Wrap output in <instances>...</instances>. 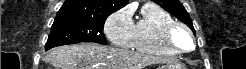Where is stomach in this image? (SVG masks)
<instances>
[{
	"label": "stomach",
	"instance_id": "1",
	"mask_svg": "<svg viewBox=\"0 0 246 69\" xmlns=\"http://www.w3.org/2000/svg\"><path fill=\"white\" fill-rule=\"evenodd\" d=\"M159 69H186V67L179 63H167L161 66Z\"/></svg>",
	"mask_w": 246,
	"mask_h": 69
}]
</instances>
